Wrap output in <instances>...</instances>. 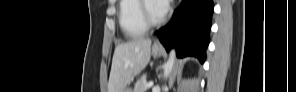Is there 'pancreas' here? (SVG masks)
Here are the masks:
<instances>
[{
    "instance_id": "obj_1",
    "label": "pancreas",
    "mask_w": 296,
    "mask_h": 92,
    "mask_svg": "<svg viewBox=\"0 0 296 92\" xmlns=\"http://www.w3.org/2000/svg\"><path fill=\"white\" fill-rule=\"evenodd\" d=\"M146 84H147L146 75H142L135 84L134 92H146L147 90Z\"/></svg>"
}]
</instances>
